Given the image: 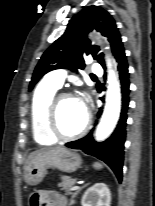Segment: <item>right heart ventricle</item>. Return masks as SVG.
<instances>
[{
	"label": "right heart ventricle",
	"mask_w": 155,
	"mask_h": 206,
	"mask_svg": "<svg viewBox=\"0 0 155 206\" xmlns=\"http://www.w3.org/2000/svg\"><path fill=\"white\" fill-rule=\"evenodd\" d=\"M57 89L47 82H42L35 90L32 98L30 108L32 134L34 140L40 145H50L55 142V138L46 127V111Z\"/></svg>",
	"instance_id": "e07e8e85"
}]
</instances>
